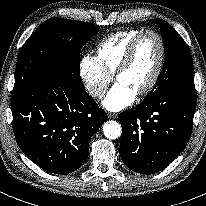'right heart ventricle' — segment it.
<instances>
[{"instance_id": "right-heart-ventricle-1", "label": "right heart ventricle", "mask_w": 206, "mask_h": 206, "mask_svg": "<svg viewBox=\"0 0 206 206\" xmlns=\"http://www.w3.org/2000/svg\"><path fill=\"white\" fill-rule=\"evenodd\" d=\"M143 29L121 30L102 41L96 50V58L109 75H113L129 44Z\"/></svg>"}]
</instances>
